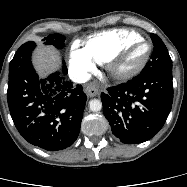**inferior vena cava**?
<instances>
[{"instance_id":"inferior-vena-cava-1","label":"inferior vena cava","mask_w":187,"mask_h":187,"mask_svg":"<svg viewBox=\"0 0 187 187\" xmlns=\"http://www.w3.org/2000/svg\"><path fill=\"white\" fill-rule=\"evenodd\" d=\"M69 77L75 83H85L90 79V74L79 69H70Z\"/></svg>"}]
</instances>
